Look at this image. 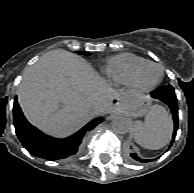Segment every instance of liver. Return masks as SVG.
I'll return each mask as SVG.
<instances>
[{"mask_svg": "<svg viewBox=\"0 0 194 193\" xmlns=\"http://www.w3.org/2000/svg\"><path fill=\"white\" fill-rule=\"evenodd\" d=\"M18 103L31 124L53 137H67L93 116L113 109V100L140 95L115 91L83 58L57 49L24 72ZM93 105L98 109L94 111Z\"/></svg>", "mask_w": 194, "mask_h": 193, "instance_id": "liver-1", "label": "liver"}]
</instances>
